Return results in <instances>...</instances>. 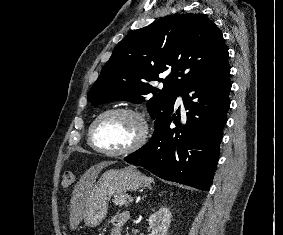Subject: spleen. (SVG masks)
Wrapping results in <instances>:
<instances>
[{
    "mask_svg": "<svg viewBox=\"0 0 283 235\" xmlns=\"http://www.w3.org/2000/svg\"><path fill=\"white\" fill-rule=\"evenodd\" d=\"M145 180L150 184L152 182H154L153 178L151 177H145Z\"/></svg>",
    "mask_w": 283,
    "mask_h": 235,
    "instance_id": "3e777b00",
    "label": "spleen"
}]
</instances>
